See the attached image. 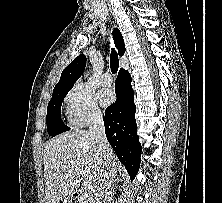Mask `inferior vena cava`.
<instances>
[{"label":"inferior vena cava","instance_id":"602c4592","mask_svg":"<svg viewBox=\"0 0 222 203\" xmlns=\"http://www.w3.org/2000/svg\"><path fill=\"white\" fill-rule=\"evenodd\" d=\"M89 134L90 137L95 140L99 154L107 164V171L95 188L94 203H107V199L109 198L114 184L116 164L112 156L113 150L111 149L105 135L104 120L100 112H96L92 115L89 126Z\"/></svg>","mask_w":222,"mask_h":203}]
</instances>
